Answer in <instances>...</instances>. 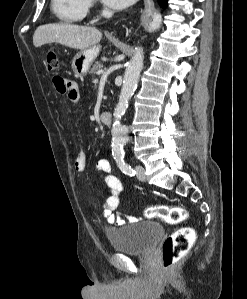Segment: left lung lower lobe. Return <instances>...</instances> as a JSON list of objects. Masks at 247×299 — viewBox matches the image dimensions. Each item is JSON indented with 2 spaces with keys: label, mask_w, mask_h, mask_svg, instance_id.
Wrapping results in <instances>:
<instances>
[{
  "label": "left lung lower lobe",
  "mask_w": 247,
  "mask_h": 299,
  "mask_svg": "<svg viewBox=\"0 0 247 299\" xmlns=\"http://www.w3.org/2000/svg\"><path fill=\"white\" fill-rule=\"evenodd\" d=\"M159 2H160V4H161V6H165V5H166V2H167V0H159Z\"/></svg>",
  "instance_id": "obj_1"
}]
</instances>
